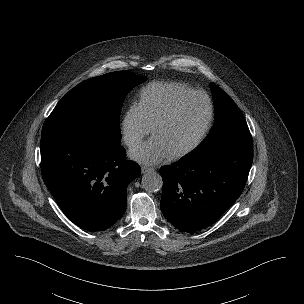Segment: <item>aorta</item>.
<instances>
[{"instance_id":"762f6f07","label":"aorta","mask_w":304,"mask_h":304,"mask_svg":"<svg viewBox=\"0 0 304 304\" xmlns=\"http://www.w3.org/2000/svg\"><path fill=\"white\" fill-rule=\"evenodd\" d=\"M163 186L162 177L155 171H150L142 176V187L148 192H157Z\"/></svg>"}]
</instances>
